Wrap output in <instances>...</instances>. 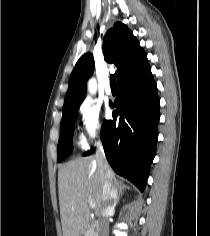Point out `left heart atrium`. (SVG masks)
<instances>
[{"mask_svg": "<svg viewBox=\"0 0 210 236\" xmlns=\"http://www.w3.org/2000/svg\"><path fill=\"white\" fill-rule=\"evenodd\" d=\"M107 115H109V111H107Z\"/></svg>", "mask_w": 210, "mask_h": 236, "instance_id": "obj_1", "label": "left heart atrium"}]
</instances>
